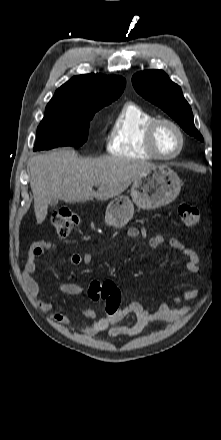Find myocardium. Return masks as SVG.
Here are the masks:
<instances>
[{
  "label": "myocardium",
  "mask_w": 221,
  "mask_h": 440,
  "mask_svg": "<svg viewBox=\"0 0 221 440\" xmlns=\"http://www.w3.org/2000/svg\"><path fill=\"white\" fill-rule=\"evenodd\" d=\"M162 124H168L171 127H173L179 136L178 149L172 154H168V155L162 154L161 152H159V150L156 146V143H155L156 133H157L159 126ZM145 142H146V147H147L148 151L150 152V154L153 156V158L167 161V160L175 159L176 157H178L182 153L184 146H185V135H184L183 129L181 128V126L177 122H175L174 120H172L170 118L158 117V118L152 119L148 123V125L146 126Z\"/></svg>",
  "instance_id": "1"
}]
</instances>
